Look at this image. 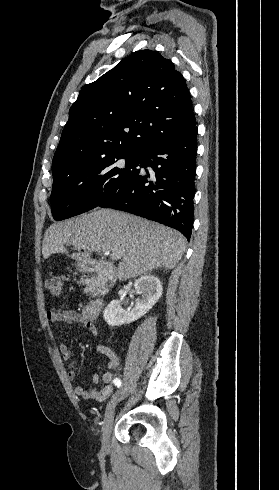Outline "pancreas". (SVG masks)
I'll list each match as a JSON object with an SVG mask.
<instances>
[{
  "label": "pancreas",
  "mask_w": 279,
  "mask_h": 490,
  "mask_svg": "<svg viewBox=\"0 0 279 490\" xmlns=\"http://www.w3.org/2000/svg\"><path fill=\"white\" fill-rule=\"evenodd\" d=\"M88 282H84L86 288H84V294H88V292H92L94 294L95 288L99 286L98 280H94V278H87Z\"/></svg>",
  "instance_id": "pancreas-1"
}]
</instances>
